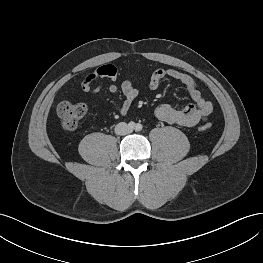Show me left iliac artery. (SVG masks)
Masks as SVG:
<instances>
[{"label":"left iliac artery","instance_id":"44dca946","mask_svg":"<svg viewBox=\"0 0 263 263\" xmlns=\"http://www.w3.org/2000/svg\"><path fill=\"white\" fill-rule=\"evenodd\" d=\"M142 128H143V126H142L141 124L138 123V124L136 125V130H137V131H141Z\"/></svg>","mask_w":263,"mask_h":263}]
</instances>
